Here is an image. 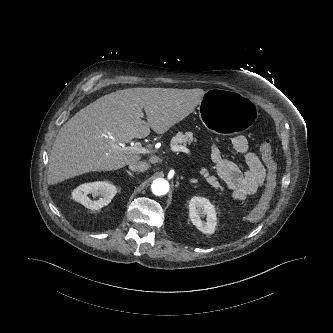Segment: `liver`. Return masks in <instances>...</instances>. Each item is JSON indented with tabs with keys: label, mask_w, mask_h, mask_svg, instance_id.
<instances>
[{
	"label": "liver",
	"mask_w": 333,
	"mask_h": 333,
	"mask_svg": "<svg viewBox=\"0 0 333 333\" xmlns=\"http://www.w3.org/2000/svg\"><path fill=\"white\" fill-rule=\"evenodd\" d=\"M204 94L198 88H128L98 98L61 127L49 158L50 183L138 161L140 155L116 146L148 136L150 128L164 134L192 113ZM142 110L147 121L141 119Z\"/></svg>",
	"instance_id": "obj_1"
}]
</instances>
